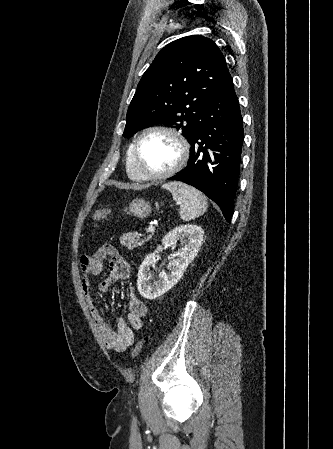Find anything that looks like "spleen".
Wrapping results in <instances>:
<instances>
[{
  "label": "spleen",
  "instance_id": "obj_1",
  "mask_svg": "<svg viewBox=\"0 0 333 449\" xmlns=\"http://www.w3.org/2000/svg\"><path fill=\"white\" fill-rule=\"evenodd\" d=\"M169 190L173 199L180 206V217L184 221L194 219L207 209L206 197L195 187L181 182H170L163 185Z\"/></svg>",
  "mask_w": 333,
  "mask_h": 449
}]
</instances>
